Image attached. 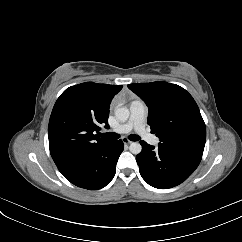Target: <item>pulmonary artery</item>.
I'll list each match as a JSON object with an SVG mask.
<instances>
[{
    "label": "pulmonary artery",
    "mask_w": 242,
    "mask_h": 242,
    "mask_svg": "<svg viewBox=\"0 0 242 242\" xmlns=\"http://www.w3.org/2000/svg\"><path fill=\"white\" fill-rule=\"evenodd\" d=\"M145 118H146V107L142 100L136 99L130 104V116L129 119L116 126L113 132L118 134H125L131 130H135L136 133L143 138L146 142L153 146H157L160 140L148 133L145 128Z\"/></svg>",
    "instance_id": "1"
}]
</instances>
